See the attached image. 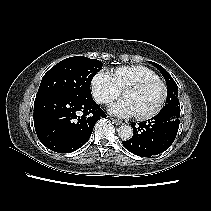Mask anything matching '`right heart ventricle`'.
Listing matches in <instances>:
<instances>
[{
	"label": "right heart ventricle",
	"mask_w": 211,
	"mask_h": 211,
	"mask_svg": "<svg viewBox=\"0 0 211 211\" xmlns=\"http://www.w3.org/2000/svg\"><path fill=\"white\" fill-rule=\"evenodd\" d=\"M113 75L121 90L140 80L159 78L154 70L143 65L121 66L114 70Z\"/></svg>",
	"instance_id": "obj_1"
}]
</instances>
